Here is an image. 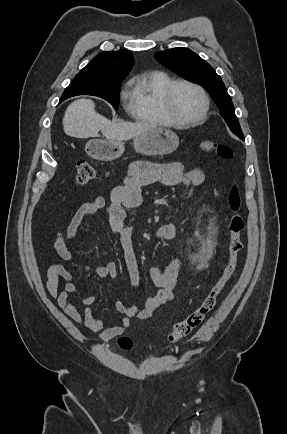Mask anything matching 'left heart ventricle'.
I'll return each instance as SVG.
<instances>
[{
    "label": "left heart ventricle",
    "instance_id": "obj_1",
    "mask_svg": "<svg viewBox=\"0 0 287 434\" xmlns=\"http://www.w3.org/2000/svg\"><path fill=\"white\" fill-rule=\"evenodd\" d=\"M173 110L181 119H193L200 115L203 101L197 90L187 85H179L173 93Z\"/></svg>",
    "mask_w": 287,
    "mask_h": 434
}]
</instances>
